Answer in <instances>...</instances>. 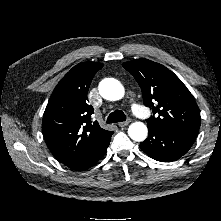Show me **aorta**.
<instances>
[{"label": "aorta", "instance_id": "obj_1", "mask_svg": "<svg viewBox=\"0 0 221 221\" xmlns=\"http://www.w3.org/2000/svg\"><path fill=\"white\" fill-rule=\"evenodd\" d=\"M99 93L106 100L116 101L124 96L125 90L118 80L106 78L99 84ZM147 134V126L142 122H134L128 128V135L134 141H144Z\"/></svg>", "mask_w": 221, "mask_h": 221}]
</instances>
